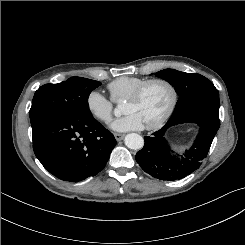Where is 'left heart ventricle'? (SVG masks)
I'll use <instances>...</instances> for the list:
<instances>
[{
  "label": "left heart ventricle",
  "mask_w": 245,
  "mask_h": 245,
  "mask_svg": "<svg viewBox=\"0 0 245 245\" xmlns=\"http://www.w3.org/2000/svg\"><path fill=\"white\" fill-rule=\"evenodd\" d=\"M171 102L170 90L162 84H152L145 90L140 100L126 101L124 114H136L144 123L151 124L160 119Z\"/></svg>",
  "instance_id": "left-heart-ventricle-1"
}]
</instances>
